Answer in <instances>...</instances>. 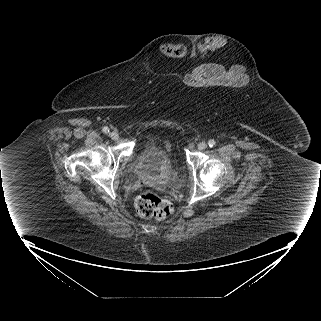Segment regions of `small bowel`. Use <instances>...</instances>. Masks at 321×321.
Wrapping results in <instances>:
<instances>
[{
  "instance_id": "1",
  "label": "small bowel",
  "mask_w": 321,
  "mask_h": 321,
  "mask_svg": "<svg viewBox=\"0 0 321 321\" xmlns=\"http://www.w3.org/2000/svg\"><path fill=\"white\" fill-rule=\"evenodd\" d=\"M184 84L186 86L200 84L202 88H214L216 85L243 87L251 86L253 77L245 75L243 69L238 66L227 69L220 64L210 63L188 72L184 76Z\"/></svg>"
}]
</instances>
